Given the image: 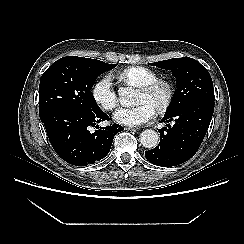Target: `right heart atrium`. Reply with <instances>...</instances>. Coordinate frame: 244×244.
<instances>
[{"label": "right heart atrium", "instance_id": "d8ad5b80", "mask_svg": "<svg viewBox=\"0 0 244 244\" xmlns=\"http://www.w3.org/2000/svg\"><path fill=\"white\" fill-rule=\"evenodd\" d=\"M92 96L104 110L111 111L118 105V97L110 76H104L94 84Z\"/></svg>", "mask_w": 244, "mask_h": 244}]
</instances>
